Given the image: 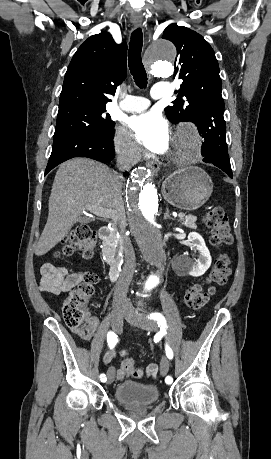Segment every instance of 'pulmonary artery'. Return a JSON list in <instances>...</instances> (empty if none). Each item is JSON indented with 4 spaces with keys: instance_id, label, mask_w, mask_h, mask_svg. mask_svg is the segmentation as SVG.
Here are the masks:
<instances>
[{
    "instance_id": "pulmonary-artery-1",
    "label": "pulmonary artery",
    "mask_w": 271,
    "mask_h": 459,
    "mask_svg": "<svg viewBox=\"0 0 271 459\" xmlns=\"http://www.w3.org/2000/svg\"><path fill=\"white\" fill-rule=\"evenodd\" d=\"M166 83L164 81H156L154 89L151 91L153 98H165ZM153 106L152 98H143L139 96H128L124 101L116 105V110L127 113H139Z\"/></svg>"
}]
</instances>
